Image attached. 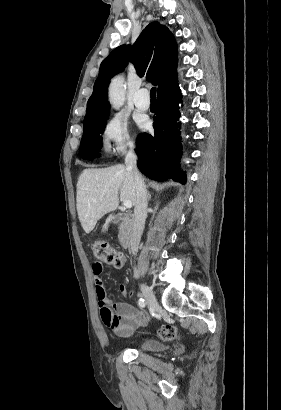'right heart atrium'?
Listing matches in <instances>:
<instances>
[{
    "mask_svg": "<svg viewBox=\"0 0 281 410\" xmlns=\"http://www.w3.org/2000/svg\"><path fill=\"white\" fill-rule=\"evenodd\" d=\"M133 146L134 140L126 118L120 114L111 116L102 131L103 151L109 155H116Z\"/></svg>",
    "mask_w": 281,
    "mask_h": 410,
    "instance_id": "right-heart-atrium-1",
    "label": "right heart atrium"
}]
</instances>
